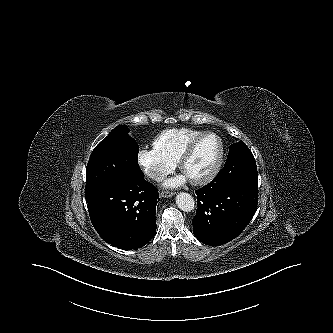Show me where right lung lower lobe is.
<instances>
[{
  "instance_id": "1",
  "label": "right lung lower lobe",
  "mask_w": 333,
  "mask_h": 333,
  "mask_svg": "<svg viewBox=\"0 0 333 333\" xmlns=\"http://www.w3.org/2000/svg\"><path fill=\"white\" fill-rule=\"evenodd\" d=\"M85 198L94 228L112 246L136 249L154 237L159 194L144 176L86 194Z\"/></svg>"
}]
</instances>
